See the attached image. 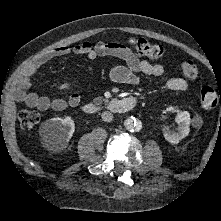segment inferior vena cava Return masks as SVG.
I'll use <instances>...</instances> for the list:
<instances>
[{
	"instance_id": "602c4592",
	"label": "inferior vena cava",
	"mask_w": 221,
	"mask_h": 221,
	"mask_svg": "<svg viewBox=\"0 0 221 221\" xmlns=\"http://www.w3.org/2000/svg\"><path fill=\"white\" fill-rule=\"evenodd\" d=\"M101 118L103 121L105 122H110L112 121L113 119V114L109 111H104L102 114H101Z\"/></svg>"
}]
</instances>
